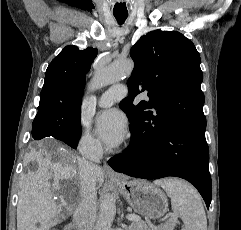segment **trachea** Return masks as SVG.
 Instances as JSON below:
<instances>
[{
  "label": "trachea",
  "instance_id": "trachea-1",
  "mask_svg": "<svg viewBox=\"0 0 241 230\" xmlns=\"http://www.w3.org/2000/svg\"><path fill=\"white\" fill-rule=\"evenodd\" d=\"M119 24H123L128 17L127 13H113Z\"/></svg>",
  "mask_w": 241,
  "mask_h": 230
}]
</instances>
